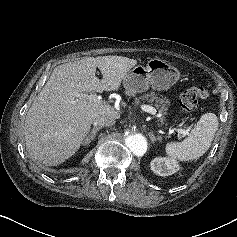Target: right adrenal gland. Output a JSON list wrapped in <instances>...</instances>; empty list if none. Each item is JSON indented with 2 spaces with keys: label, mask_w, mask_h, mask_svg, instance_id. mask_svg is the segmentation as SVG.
<instances>
[{
  "label": "right adrenal gland",
  "mask_w": 237,
  "mask_h": 237,
  "mask_svg": "<svg viewBox=\"0 0 237 237\" xmlns=\"http://www.w3.org/2000/svg\"><path fill=\"white\" fill-rule=\"evenodd\" d=\"M101 129V127H94L91 132L84 139L83 145H88L91 141H93L97 135V132Z\"/></svg>",
  "instance_id": "2a0ac1e0"
}]
</instances>
